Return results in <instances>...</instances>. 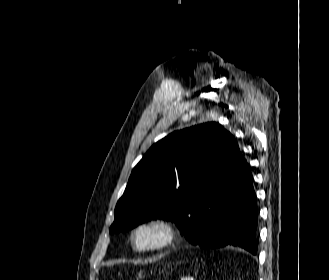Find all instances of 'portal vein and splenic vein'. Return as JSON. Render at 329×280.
Returning <instances> with one entry per match:
<instances>
[{
  "instance_id": "18ae733b",
  "label": "portal vein and splenic vein",
  "mask_w": 329,
  "mask_h": 280,
  "mask_svg": "<svg viewBox=\"0 0 329 280\" xmlns=\"http://www.w3.org/2000/svg\"><path fill=\"white\" fill-rule=\"evenodd\" d=\"M185 280H193L192 278H186Z\"/></svg>"
}]
</instances>
